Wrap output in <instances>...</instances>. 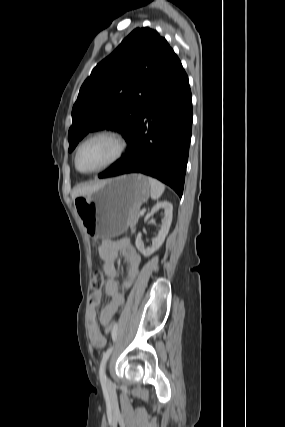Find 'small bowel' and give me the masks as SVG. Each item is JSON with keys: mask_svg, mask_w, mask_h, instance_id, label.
<instances>
[{"mask_svg": "<svg viewBox=\"0 0 285 427\" xmlns=\"http://www.w3.org/2000/svg\"><path fill=\"white\" fill-rule=\"evenodd\" d=\"M98 253L103 260V270L108 277L104 292L109 297V301L100 312L99 323L107 326L111 323L113 316L124 302L123 291L116 280L117 270L115 262L119 254H122L127 261V277L122 286L123 288H128L138 274L141 258L127 237L117 240H104L98 249ZM101 297L102 292L100 290H96L90 295L89 302L93 314L95 308L100 304ZM90 339L95 348H102L105 345V337L100 331L97 322H93L92 324Z\"/></svg>", "mask_w": 285, "mask_h": 427, "instance_id": "c3829d8e", "label": "small bowel"}]
</instances>
